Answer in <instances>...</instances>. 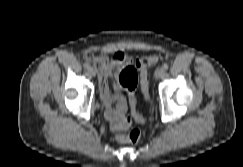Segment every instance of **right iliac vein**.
<instances>
[{
    "label": "right iliac vein",
    "mask_w": 243,
    "mask_h": 167,
    "mask_svg": "<svg viewBox=\"0 0 243 167\" xmlns=\"http://www.w3.org/2000/svg\"><path fill=\"white\" fill-rule=\"evenodd\" d=\"M88 74H89L90 76H95V75H96V71H95V69L92 68V67H89V68H88Z\"/></svg>",
    "instance_id": "right-iliac-vein-1"
}]
</instances>
